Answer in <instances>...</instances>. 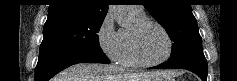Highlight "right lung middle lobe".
<instances>
[{"mask_svg":"<svg viewBox=\"0 0 237 81\" xmlns=\"http://www.w3.org/2000/svg\"><path fill=\"white\" fill-rule=\"evenodd\" d=\"M104 18L59 16L47 19L40 49L102 52L97 32Z\"/></svg>","mask_w":237,"mask_h":81,"instance_id":"dd1d6c3e","label":"right lung middle lobe"}]
</instances>
